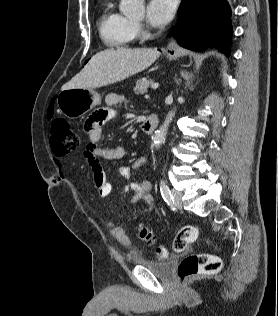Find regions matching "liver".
I'll return each mask as SVG.
<instances>
[{
    "instance_id": "1",
    "label": "liver",
    "mask_w": 278,
    "mask_h": 316,
    "mask_svg": "<svg viewBox=\"0 0 278 316\" xmlns=\"http://www.w3.org/2000/svg\"><path fill=\"white\" fill-rule=\"evenodd\" d=\"M160 56L157 48L107 49L96 53L62 90L94 89L126 79L148 68Z\"/></svg>"
}]
</instances>
